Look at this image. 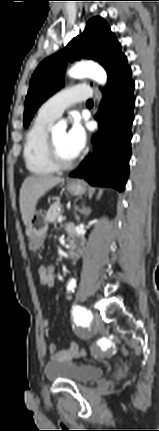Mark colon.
<instances>
[{
  "instance_id": "5ec220e1",
  "label": "colon",
  "mask_w": 159,
  "mask_h": 431,
  "mask_svg": "<svg viewBox=\"0 0 159 431\" xmlns=\"http://www.w3.org/2000/svg\"><path fill=\"white\" fill-rule=\"evenodd\" d=\"M55 267H56V264L53 262V261H50L49 263H48V266H47V276L49 277V288L50 289H55L56 288V282H57V279H56V277H54V275H55ZM80 358H84L85 357V347H80Z\"/></svg>"
}]
</instances>
